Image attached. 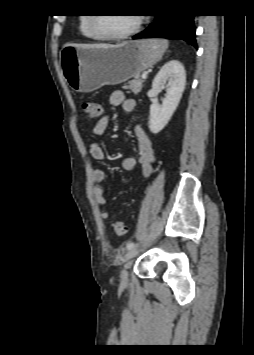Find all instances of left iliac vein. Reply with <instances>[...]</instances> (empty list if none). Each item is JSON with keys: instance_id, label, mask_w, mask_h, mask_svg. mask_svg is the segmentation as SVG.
Masks as SVG:
<instances>
[{"instance_id": "left-iliac-vein-1", "label": "left iliac vein", "mask_w": 254, "mask_h": 355, "mask_svg": "<svg viewBox=\"0 0 254 355\" xmlns=\"http://www.w3.org/2000/svg\"><path fill=\"white\" fill-rule=\"evenodd\" d=\"M138 254V249L137 248H132L128 251L125 259V265L123 270L121 271V282L122 284H126L128 281V266L129 262Z\"/></svg>"}]
</instances>
